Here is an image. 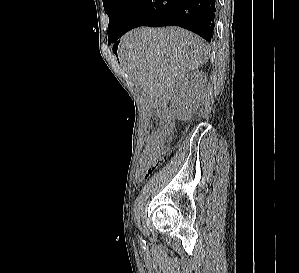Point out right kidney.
Masks as SVG:
<instances>
[{
	"label": "right kidney",
	"mask_w": 299,
	"mask_h": 273,
	"mask_svg": "<svg viewBox=\"0 0 299 273\" xmlns=\"http://www.w3.org/2000/svg\"><path fill=\"white\" fill-rule=\"evenodd\" d=\"M206 82V75L199 70L187 73L178 81L171 100L178 119H189L197 111Z\"/></svg>",
	"instance_id": "ca27d5eb"
}]
</instances>
